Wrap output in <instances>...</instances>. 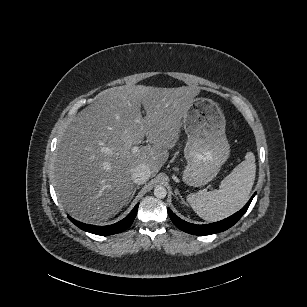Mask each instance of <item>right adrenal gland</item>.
Returning <instances> with one entry per match:
<instances>
[{
  "mask_svg": "<svg viewBox=\"0 0 307 307\" xmlns=\"http://www.w3.org/2000/svg\"><path fill=\"white\" fill-rule=\"evenodd\" d=\"M137 189H139V186H136V187L133 188V191H132V194H131V196H130L129 202L133 199L134 194L136 193V190H137Z\"/></svg>",
  "mask_w": 307,
  "mask_h": 307,
  "instance_id": "2a0ac1e0",
  "label": "right adrenal gland"
}]
</instances>
